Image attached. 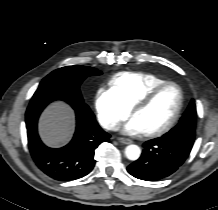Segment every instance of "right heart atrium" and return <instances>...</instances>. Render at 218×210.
Segmentation results:
<instances>
[{
  "label": "right heart atrium",
  "mask_w": 218,
  "mask_h": 210,
  "mask_svg": "<svg viewBox=\"0 0 218 210\" xmlns=\"http://www.w3.org/2000/svg\"><path fill=\"white\" fill-rule=\"evenodd\" d=\"M94 106L100 123L107 130H116L131 112L110 88L98 89Z\"/></svg>",
  "instance_id": "1"
}]
</instances>
